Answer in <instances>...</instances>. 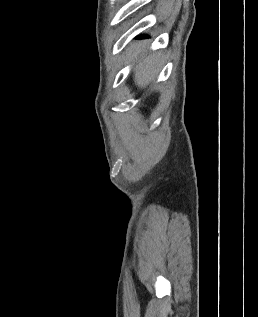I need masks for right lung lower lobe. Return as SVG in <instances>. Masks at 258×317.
I'll return each instance as SVG.
<instances>
[{
	"mask_svg": "<svg viewBox=\"0 0 258 317\" xmlns=\"http://www.w3.org/2000/svg\"><path fill=\"white\" fill-rule=\"evenodd\" d=\"M143 37H145V36H141V37H139V38H143Z\"/></svg>",
	"mask_w": 258,
	"mask_h": 317,
	"instance_id": "right-lung-lower-lobe-1",
	"label": "right lung lower lobe"
}]
</instances>
